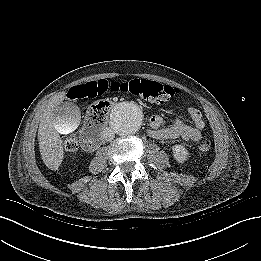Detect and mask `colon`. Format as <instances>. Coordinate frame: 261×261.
Here are the masks:
<instances>
[{"mask_svg": "<svg viewBox=\"0 0 261 261\" xmlns=\"http://www.w3.org/2000/svg\"><path fill=\"white\" fill-rule=\"evenodd\" d=\"M108 92L131 94L150 102L163 103L173 98L178 93V89L142 78L126 81L97 80L73 87L69 92V96L71 99H74V97L76 99L95 98ZM109 111L110 103L108 101L95 102L87 111L88 125L97 126L102 124L106 120ZM211 145V140L205 138L199 143V150L206 153L211 149ZM64 147L69 154L73 155L79 149L80 143L75 136H71L65 140Z\"/></svg>", "mask_w": 261, "mask_h": 261, "instance_id": "obj_1", "label": "colon"}]
</instances>
